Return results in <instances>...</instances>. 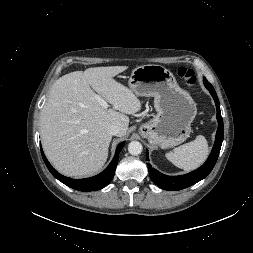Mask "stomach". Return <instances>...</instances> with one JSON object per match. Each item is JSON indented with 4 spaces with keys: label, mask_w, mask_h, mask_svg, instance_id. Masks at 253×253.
I'll list each match as a JSON object with an SVG mask.
<instances>
[{
    "label": "stomach",
    "mask_w": 253,
    "mask_h": 253,
    "mask_svg": "<svg viewBox=\"0 0 253 253\" xmlns=\"http://www.w3.org/2000/svg\"><path fill=\"white\" fill-rule=\"evenodd\" d=\"M128 84L137 96L154 97L157 115L139 128L150 144L166 149L189 137L197 114L196 103L167 68L157 64L138 66Z\"/></svg>",
    "instance_id": "stomach-1"
}]
</instances>
